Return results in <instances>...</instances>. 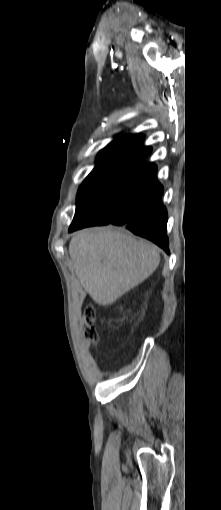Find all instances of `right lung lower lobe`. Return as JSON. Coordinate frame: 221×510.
I'll return each instance as SVG.
<instances>
[{
  "label": "right lung lower lobe",
  "instance_id": "1",
  "mask_svg": "<svg viewBox=\"0 0 221 510\" xmlns=\"http://www.w3.org/2000/svg\"><path fill=\"white\" fill-rule=\"evenodd\" d=\"M157 168L148 163L139 172L119 211L109 217L96 216L88 206L78 205L69 232L94 225L114 224L124 226L134 234L147 238L167 253V211L161 198L163 187L156 179Z\"/></svg>",
  "mask_w": 221,
  "mask_h": 510
}]
</instances>
